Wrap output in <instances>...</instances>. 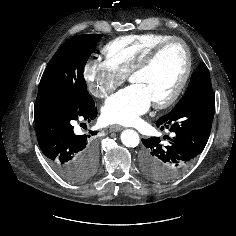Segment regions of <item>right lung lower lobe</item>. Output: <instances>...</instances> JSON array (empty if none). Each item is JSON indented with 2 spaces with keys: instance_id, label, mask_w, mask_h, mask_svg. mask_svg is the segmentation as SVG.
I'll return each instance as SVG.
<instances>
[{
  "instance_id": "right-lung-lower-lobe-1",
  "label": "right lung lower lobe",
  "mask_w": 236,
  "mask_h": 236,
  "mask_svg": "<svg viewBox=\"0 0 236 236\" xmlns=\"http://www.w3.org/2000/svg\"><path fill=\"white\" fill-rule=\"evenodd\" d=\"M97 116L95 103L75 107L52 100H36L34 118L37 140L51 166L64 179L80 182L81 168L97 158V131L78 135L74 131L77 120L90 122Z\"/></svg>"
}]
</instances>
